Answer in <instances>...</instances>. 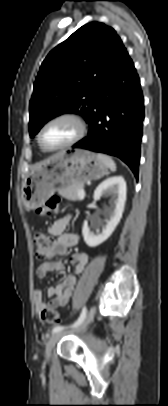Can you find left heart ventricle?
I'll list each match as a JSON object with an SVG mask.
<instances>
[{"label": "left heart ventricle", "instance_id": "b2bd125f", "mask_svg": "<svg viewBox=\"0 0 168 406\" xmlns=\"http://www.w3.org/2000/svg\"><path fill=\"white\" fill-rule=\"evenodd\" d=\"M76 133V126L70 121H58L48 125L42 133L45 146L54 148L67 143Z\"/></svg>", "mask_w": 168, "mask_h": 406}]
</instances>
